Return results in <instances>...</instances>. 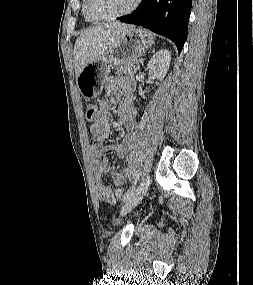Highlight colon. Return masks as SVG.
Returning a JSON list of instances; mask_svg holds the SVG:
<instances>
[{
    "instance_id": "5ec220e1",
    "label": "colon",
    "mask_w": 253,
    "mask_h": 285,
    "mask_svg": "<svg viewBox=\"0 0 253 285\" xmlns=\"http://www.w3.org/2000/svg\"><path fill=\"white\" fill-rule=\"evenodd\" d=\"M95 114H96V107L93 104H88L86 106V118L88 120H92L94 119ZM118 194L122 197L124 195V189L119 188Z\"/></svg>"
}]
</instances>
